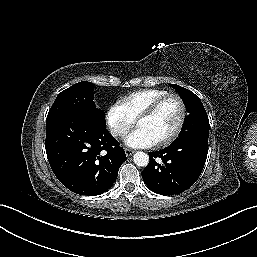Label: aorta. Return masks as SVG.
Wrapping results in <instances>:
<instances>
[{
    "label": "aorta",
    "mask_w": 257,
    "mask_h": 257,
    "mask_svg": "<svg viewBox=\"0 0 257 257\" xmlns=\"http://www.w3.org/2000/svg\"><path fill=\"white\" fill-rule=\"evenodd\" d=\"M133 160L137 166L145 167L149 163V156L145 152L138 151L134 154Z\"/></svg>",
    "instance_id": "762f6f07"
}]
</instances>
